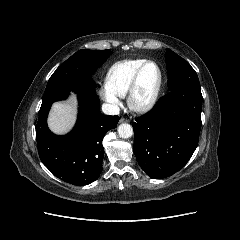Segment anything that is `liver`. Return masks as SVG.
I'll list each match as a JSON object with an SVG mask.
<instances>
[{
	"instance_id": "liver-1",
	"label": "liver",
	"mask_w": 240,
	"mask_h": 240,
	"mask_svg": "<svg viewBox=\"0 0 240 240\" xmlns=\"http://www.w3.org/2000/svg\"><path fill=\"white\" fill-rule=\"evenodd\" d=\"M76 97L72 96L68 102L54 103L48 117V126L58 135L68 133L76 120Z\"/></svg>"
}]
</instances>
